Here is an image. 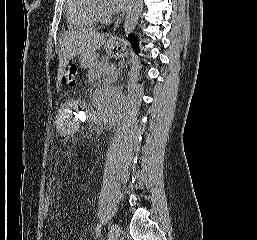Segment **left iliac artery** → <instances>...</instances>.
Here are the masks:
<instances>
[{"mask_svg":"<svg viewBox=\"0 0 257 240\" xmlns=\"http://www.w3.org/2000/svg\"><path fill=\"white\" fill-rule=\"evenodd\" d=\"M101 233V224H98L96 227V238L100 235Z\"/></svg>","mask_w":257,"mask_h":240,"instance_id":"left-iliac-artery-1","label":"left iliac artery"}]
</instances>
